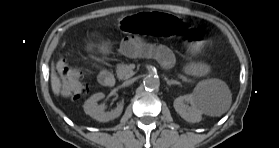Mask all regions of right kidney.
I'll list each match as a JSON object with an SVG mask.
<instances>
[{
    "instance_id": "obj_1",
    "label": "right kidney",
    "mask_w": 279,
    "mask_h": 148,
    "mask_svg": "<svg viewBox=\"0 0 279 148\" xmlns=\"http://www.w3.org/2000/svg\"><path fill=\"white\" fill-rule=\"evenodd\" d=\"M105 97L103 93H96L92 95L85 103H84V111L86 114L91 116L93 119H96L100 122H108L119 117L123 111V102H120L118 106L110 111L105 112L104 104L98 105V101L102 100Z\"/></svg>"
}]
</instances>
